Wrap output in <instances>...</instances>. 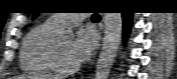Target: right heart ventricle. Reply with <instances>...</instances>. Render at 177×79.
Returning a JSON list of instances; mask_svg holds the SVG:
<instances>
[{
    "mask_svg": "<svg viewBox=\"0 0 177 79\" xmlns=\"http://www.w3.org/2000/svg\"><path fill=\"white\" fill-rule=\"evenodd\" d=\"M59 30L46 21L28 33L20 54V66L23 71L37 75H51L57 72L51 53Z\"/></svg>",
    "mask_w": 177,
    "mask_h": 79,
    "instance_id": "e07e8e85",
    "label": "right heart ventricle"
}]
</instances>
